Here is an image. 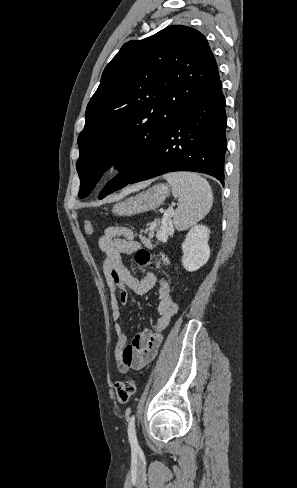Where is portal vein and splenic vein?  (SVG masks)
<instances>
[{
    "label": "portal vein and splenic vein",
    "instance_id": "1",
    "mask_svg": "<svg viewBox=\"0 0 297 488\" xmlns=\"http://www.w3.org/2000/svg\"><path fill=\"white\" fill-rule=\"evenodd\" d=\"M163 213H164V220L165 221H168L171 218L172 214H173V207L172 206L169 207V209L167 211H164ZM164 225L167 227L166 224H164Z\"/></svg>",
    "mask_w": 297,
    "mask_h": 488
}]
</instances>
